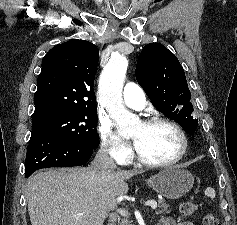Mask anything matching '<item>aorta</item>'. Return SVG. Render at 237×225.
<instances>
[{
  "label": "aorta",
  "instance_id": "1",
  "mask_svg": "<svg viewBox=\"0 0 237 225\" xmlns=\"http://www.w3.org/2000/svg\"><path fill=\"white\" fill-rule=\"evenodd\" d=\"M128 67L125 56L112 55L99 80V99L110 117L115 120L120 135L130 133L139 123V118L123 105L122 89Z\"/></svg>",
  "mask_w": 237,
  "mask_h": 225
}]
</instances>
